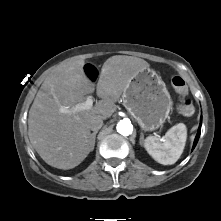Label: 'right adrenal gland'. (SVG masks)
<instances>
[{"instance_id": "right-adrenal-gland-1", "label": "right adrenal gland", "mask_w": 221, "mask_h": 221, "mask_svg": "<svg viewBox=\"0 0 221 221\" xmlns=\"http://www.w3.org/2000/svg\"><path fill=\"white\" fill-rule=\"evenodd\" d=\"M98 133V131H95L92 133V139H93V148L92 150L94 149V146H95V139H96V134Z\"/></svg>"}]
</instances>
